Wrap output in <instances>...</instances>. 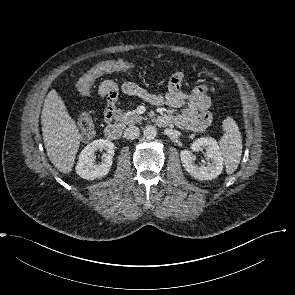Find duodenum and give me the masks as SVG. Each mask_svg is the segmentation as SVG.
Segmentation results:
<instances>
[{"label": "duodenum", "instance_id": "1", "mask_svg": "<svg viewBox=\"0 0 295 295\" xmlns=\"http://www.w3.org/2000/svg\"><path fill=\"white\" fill-rule=\"evenodd\" d=\"M158 123L166 125L169 123V120L165 116H160L157 118ZM105 135L110 140H119L122 135V127L117 123L109 124L105 128Z\"/></svg>", "mask_w": 295, "mask_h": 295}]
</instances>
